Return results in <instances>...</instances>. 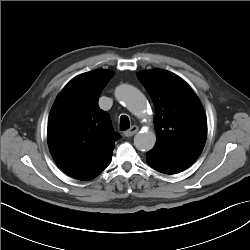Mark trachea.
Masks as SVG:
<instances>
[{"mask_svg": "<svg viewBox=\"0 0 250 250\" xmlns=\"http://www.w3.org/2000/svg\"><path fill=\"white\" fill-rule=\"evenodd\" d=\"M130 127L129 118L126 115L120 117V130L125 131Z\"/></svg>", "mask_w": 250, "mask_h": 250, "instance_id": "1", "label": "trachea"}]
</instances>
